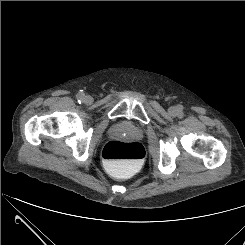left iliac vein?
Returning <instances> with one entry per match:
<instances>
[{
    "mask_svg": "<svg viewBox=\"0 0 245 245\" xmlns=\"http://www.w3.org/2000/svg\"><path fill=\"white\" fill-rule=\"evenodd\" d=\"M168 111L170 115H176L178 113L177 108L174 106L170 107Z\"/></svg>",
    "mask_w": 245,
    "mask_h": 245,
    "instance_id": "left-iliac-vein-1",
    "label": "left iliac vein"
}]
</instances>
